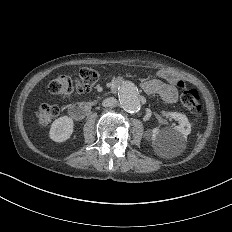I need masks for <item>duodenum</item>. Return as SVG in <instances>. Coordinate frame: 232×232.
<instances>
[{"label":"duodenum","mask_w":232,"mask_h":232,"mask_svg":"<svg viewBox=\"0 0 232 232\" xmlns=\"http://www.w3.org/2000/svg\"><path fill=\"white\" fill-rule=\"evenodd\" d=\"M122 84V80H116L113 82L112 87L115 89ZM91 110V106L87 103L74 104L69 108V115L75 120H81L85 118Z\"/></svg>","instance_id":"410a0bca"}]
</instances>
